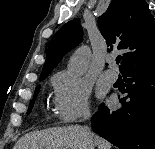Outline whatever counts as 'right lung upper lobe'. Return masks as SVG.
Returning <instances> with one entry per match:
<instances>
[{"label":"right lung upper lobe","instance_id":"cb5924a9","mask_svg":"<svg viewBox=\"0 0 155 149\" xmlns=\"http://www.w3.org/2000/svg\"><path fill=\"white\" fill-rule=\"evenodd\" d=\"M109 51L124 50L120 70L155 63V19L144 0H112L98 19ZM79 19L69 21L51 39L40 77H47L62 57L82 40Z\"/></svg>","mask_w":155,"mask_h":149}]
</instances>
